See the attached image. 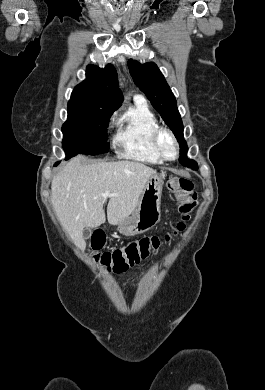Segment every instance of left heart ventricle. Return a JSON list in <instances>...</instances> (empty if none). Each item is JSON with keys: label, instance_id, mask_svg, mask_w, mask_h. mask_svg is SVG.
Here are the masks:
<instances>
[{"label": "left heart ventricle", "instance_id": "b2bd125f", "mask_svg": "<svg viewBox=\"0 0 265 390\" xmlns=\"http://www.w3.org/2000/svg\"><path fill=\"white\" fill-rule=\"evenodd\" d=\"M161 143H162V147H163L164 152L168 156H173L174 155V146H173L171 139L167 136H164L162 138Z\"/></svg>", "mask_w": 265, "mask_h": 390}]
</instances>
